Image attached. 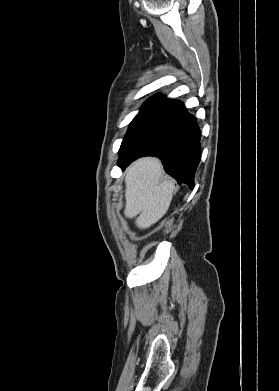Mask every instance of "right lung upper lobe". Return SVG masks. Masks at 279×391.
I'll list each match as a JSON object with an SVG mask.
<instances>
[{
  "label": "right lung upper lobe",
  "instance_id": "1",
  "mask_svg": "<svg viewBox=\"0 0 279 391\" xmlns=\"http://www.w3.org/2000/svg\"><path fill=\"white\" fill-rule=\"evenodd\" d=\"M177 100H170L166 99L162 94H158L146 101L144 103L142 109H158V110H164L168 106L175 103Z\"/></svg>",
  "mask_w": 279,
  "mask_h": 391
}]
</instances>
